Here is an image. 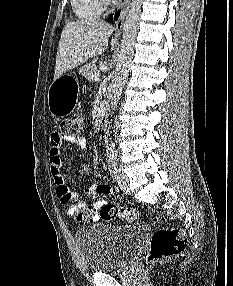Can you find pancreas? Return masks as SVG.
I'll list each match as a JSON object with an SVG mask.
<instances>
[{
	"instance_id": "obj_1",
	"label": "pancreas",
	"mask_w": 233,
	"mask_h": 286,
	"mask_svg": "<svg viewBox=\"0 0 233 286\" xmlns=\"http://www.w3.org/2000/svg\"><path fill=\"white\" fill-rule=\"evenodd\" d=\"M79 73L83 75L87 80L92 81L94 80L92 78L93 74L99 73V70L97 69L95 65V61H92L91 63H88L84 65L80 70Z\"/></svg>"
}]
</instances>
